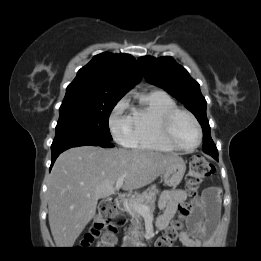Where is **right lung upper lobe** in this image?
I'll return each instance as SVG.
<instances>
[{
    "label": "right lung upper lobe",
    "instance_id": "right-lung-upper-lobe-1",
    "mask_svg": "<svg viewBox=\"0 0 261 261\" xmlns=\"http://www.w3.org/2000/svg\"><path fill=\"white\" fill-rule=\"evenodd\" d=\"M141 77L138 64L131 55L101 53L78 71L67 87L65 97H123Z\"/></svg>",
    "mask_w": 261,
    "mask_h": 261
}]
</instances>
